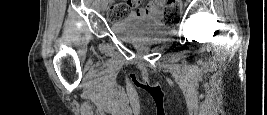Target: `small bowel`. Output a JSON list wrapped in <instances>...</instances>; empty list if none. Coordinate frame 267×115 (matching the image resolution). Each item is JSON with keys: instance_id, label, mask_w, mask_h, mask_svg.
<instances>
[{"instance_id": "c3829d8e", "label": "small bowel", "mask_w": 267, "mask_h": 115, "mask_svg": "<svg viewBox=\"0 0 267 115\" xmlns=\"http://www.w3.org/2000/svg\"><path fill=\"white\" fill-rule=\"evenodd\" d=\"M132 4V13L135 15H159L160 9L164 4L163 0H153L144 6H140L138 1H134Z\"/></svg>"}]
</instances>
